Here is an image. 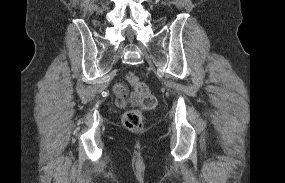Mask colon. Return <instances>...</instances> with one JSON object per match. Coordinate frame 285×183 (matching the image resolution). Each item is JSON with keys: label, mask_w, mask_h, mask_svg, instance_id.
Returning a JSON list of instances; mask_svg holds the SVG:
<instances>
[{"label": "colon", "mask_w": 285, "mask_h": 183, "mask_svg": "<svg viewBox=\"0 0 285 183\" xmlns=\"http://www.w3.org/2000/svg\"><path fill=\"white\" fill-rule=\"evenodd\" d=\"M126 80L134 88L132 103L139 102L144 110L153 109L156 105V97L151 93L148 86L132 72L127 74ZM122 121L126 128L138 131L144 126V115L138 109H129L123 113Z\"/></svg>", "instance_id": "1"}]
</instances>
